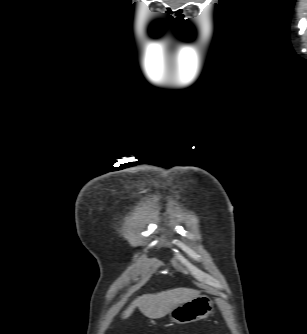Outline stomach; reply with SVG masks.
Returning <instances> with one entry per match:
<instances>
[{"instance_id":"1","label":"stomach","mask_w":307,"mask_h":334,"mask_svg":"<svg viewBox=\"0 0 307 334\" xmlns=\"http://www.w3.org/2000/svg\"><path fill=\"white\" fill-rule=\"evenodd\" d=\"M213 310L212 301L206 295L198 297L176 306L169 312L172 322L186 324L207 318Z\"/></svg>"}]
</instances>
